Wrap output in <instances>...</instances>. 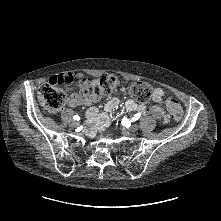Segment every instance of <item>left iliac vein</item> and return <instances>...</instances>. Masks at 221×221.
I'll return each instance as SVG.
<instances>
[{
  "mask_svg": "<svg viewBox=\"0 0 221 221\" xmlns=\"http://www.w3.org/2000/svg\"><path fill=\"white\" fill-rule=\"evenodd\" d=\"M138 125L137 124H133L131 125L128 129L124 128L123 132H136L138 130Z\"/></svg>",
  "mask_w": 221,
  "mask_h": 221,
  "instance_id": "left-iliac-vein-1",
  "label": "left iliac vein"
}]
</instances>
